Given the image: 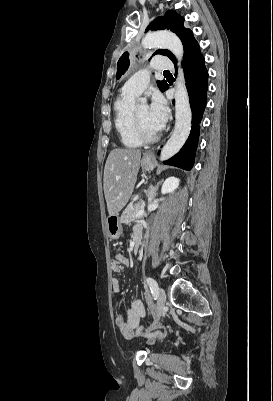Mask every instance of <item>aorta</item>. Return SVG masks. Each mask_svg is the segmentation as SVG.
I'll return each mask as SVG.
<instances>
[{
  "mask_svg": "<svg viewBox=\"0 0 273 401\" xmlns=\"http://www.w3.org/2000/svg\"><path fill=\"white\" fill-rule=\"evenodd\" d=\"M142 46L146 49L164 48L170 50L178 59L179 65L182 61L184 49L181 40L173 33L167 31H157L148 33L142 40ZM141 104L146 101L141 99ZM192 111L189 102L184 73L179 67L175 90V126L174 131L163 147L160 160H168L183 147L192 126Z\"/></svg>",
  "mask_w": 273,
  "mask_h": 401,
  "instance_id": "aorta-1",
  "label": "aorta"
}]
</instances>
